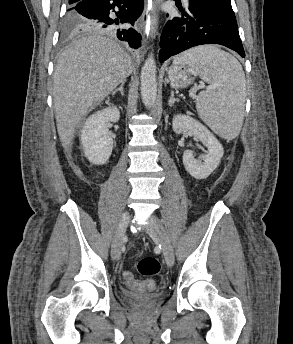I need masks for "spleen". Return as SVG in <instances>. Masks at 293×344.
<instances>
[{
	"mask_svg": "<svg viewBox=\"0 0 293 344\" xmlns=\"http://www.w3.org/2000/svg\"><path fill=\"white\" fill-rule=\"evenodd\" d=\"M176 60L194 67L210 84L196 98L201 119L222 138L236 137L243 124L246 90L245 75L237 59L216 47L199 46Z\"/></svg>",
	"mask_w": 293,
	"mask_h": 344,
	"instance_id": "3e777b00",
	"label": "spleen"
}]
</instances>
